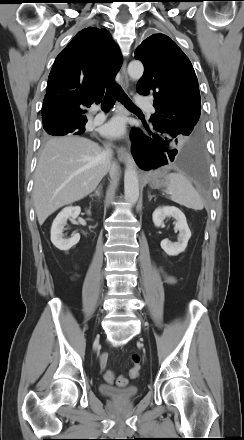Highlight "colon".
Here are the masks:
<instances>
[{"instance_id":"5ec220e1","label":"colon","mask_w":244,"mask_h":440,"mask_svg":"<svg viewBox=\"0 0 244 440\" xmlns=\"http://www.w3.org/2000/svg\"><path fill=\"white\" fill-rule=\"evenodd\" d=\"M132 361L134 363L133 368L131 369L130 375L132 378H136L139 375V371H140V358L137 354H134L132 356ZM104 379L107 383L112 384L115 381V376L114 373L110 370H107L104 373ZM116 384L119 387H125L128 384V379L127 377L121 375L116 379Z\"/></svg>"}]
</instances>
